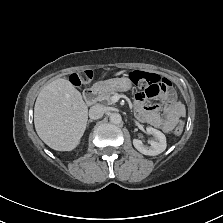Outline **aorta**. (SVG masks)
<instances>
[{"instance_id":"aorta-1","label":"aorta","mask_w":223,"mask_h":223,"mask_svg":"<svg viewBox=\"0 0 223 223\" xmlns=\"http://www.w3.org/2000/svg\"><path fill=\"white\" fill-rule=\"evenodd\" d=\"M109 120L112 123H120L121 122V115L119 113H111L109 116Z\"/></svg>"}]
</instances>
